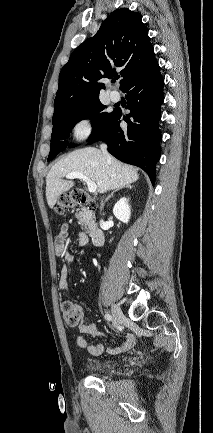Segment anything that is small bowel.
Segmentation results:
<instances>
[{
    "mask_svg": "<svg viewBox=\"0 0 213 433\" xmlns=\"http://www.w3.org/2000/svg\"><path fill=\"white\" fill-rule=\"evenodd\" d=\"M69 235V226L68 224H63L59 231L57 232L55 238H54V250L56 256H58L61 261L62 265L60 268V282L59 285L62 289L68 290L69 284H68V274H69V268L68 264L72 263L75 260V255L73 253H70L66 249V242ZM88 242V236L84 232H80L78 234V245L79 246H85ZM79 332L80 336L76 339V344L80 348H87L89 353L93 355L100 354L104 351L105 347L103 344H92L89 345L87 340L82 335H91V336H100L102 333L98 330L96 324L94 323H82L79 326ZM136 343V338L133 334H128L124 341L116 346V347H107V351L110 354H119L122 352H125L129 349H131Z\"/></svg>",
    "mask_w": 213,
    "mask_h": 433,
    "instance_id": "obj_1",
    "label": "small bowel"
}]
</instances>
